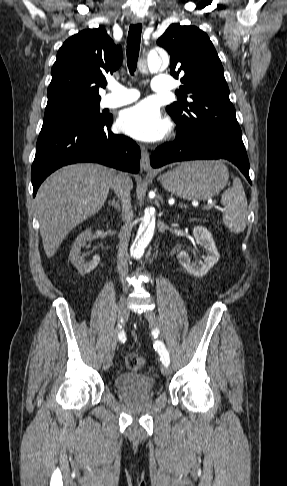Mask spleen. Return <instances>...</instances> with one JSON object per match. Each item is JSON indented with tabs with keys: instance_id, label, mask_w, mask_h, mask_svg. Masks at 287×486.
<instances>
[{
	"instance_id": "spleen-1",
	"label": "spleen",
	"mask_w": 287,
	"mask_h": 486,
	"mask_svg": "<svg viewBox=\"0 0 287 486\" xmlns=\"http://www.w3.org/2000/svg\"><path fill=\"white\" fill-rule=\"evenodd\" d=\"M221 204L224 206V225L232 233L243 232L247 225L248 204L240 178L233 176V186L222 194Z\"/></svg>"
}]
</instances>
